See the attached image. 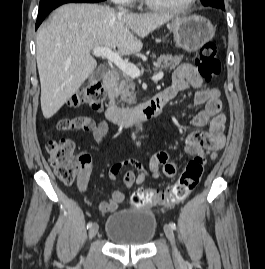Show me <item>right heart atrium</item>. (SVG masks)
<instances>
[{
	"label": "right heart atrium",
	"mask_w": 265,
	"mask_h": 269,
	"mask_svg": "<svg viewBox=\"0 0 265 269\" xmlns=\"http://www.w3.org/2000/svg\"><path fill=\"white\" fill-rule=\"evenodd\" d=\"M111 1H113L114 3H117V4L126 5V4H130V3L134 2L135 0H111Z\"/></svg>",
	"instance_id": "d8ad5b80"
}]
</instances>
